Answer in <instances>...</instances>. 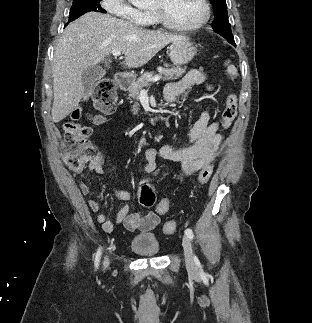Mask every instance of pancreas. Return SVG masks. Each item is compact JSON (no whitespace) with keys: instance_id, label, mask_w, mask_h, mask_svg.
Here are the masks:
<instances>
[{"instance_id":"cf45deb5","label":"pancreas","mask_w":312,"mask_h":323,"mask_svg":"<svg viewBox=\"0 0 312 323\" xmlns=\"http://www.w3.org/2000/svg\"><path fill=\"white\" fill-rule=\"evenodd\" d=\"M186 68H171V70H168V68H162L160 74H163L164 80H178V78H181L182 74H184ZM153 72H145L143 76H140L136 82H132L129 90V96L133 98V100H139L140 98V92L143 90L144 86H150L149 82H153ZM138 102H135L133 106V112L134 116L138 114L139 108Z\"/></svg>"}]
</instances>
